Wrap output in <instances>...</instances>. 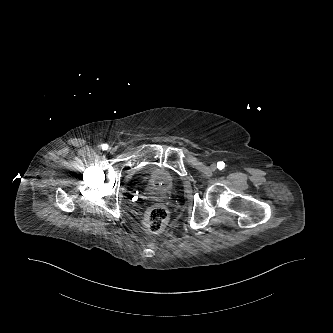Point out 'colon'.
I'll list each match as a JSON object with an SVG mask.
<instances>
[{"instance_id": "colon-1", "label": "colon", "mask_w": 333, "mask_h": 333, "mask_svg": "<svg viewBox=\"0 0 333 333\" xmlns=\"http://www.w3.org/2000/svg\"><path fill=\"white\" fill-rule=\"evenodd\" d=\"M168 209L161 204L154 205L146 213L144 226L149 233H160L168 221Z\"/></svg>"}]
</instances>
